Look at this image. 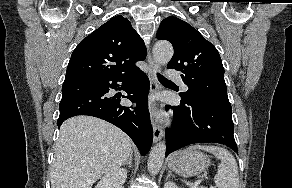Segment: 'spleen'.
<instances>
[{
  "label": "spleen",
  "mask_w": 292,
  "mask_h": 188,
  "mask_svg": "<svg viewBox=\"0 0 292 188\" xmlns=\"http://www.w3.org/2000/svg\"><path fill=\"white\" fill-rule=\"evenodd\" d=\"M189 149H202L213 153L221 163L218 165L214 181L218 188H239V172L235 158L225 148L215 145H195Z\"/></svg>",
  "instance_id": "3e777b00"
}]
</instances>
